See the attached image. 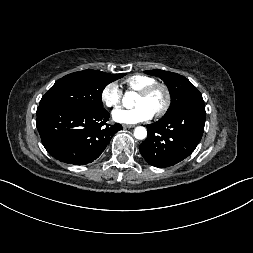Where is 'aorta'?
Segmentation results:
<instances>
[{"label": "aorta", "instance_id": "1", "mask_svg": "<svg viewBox=\"0 0 253 253\" xmlns=\"http://www.w3.org/2000/svg\"><path fill=\"white\" fill-rule=\"evenodd\" d=\"M135 93L134 92H126L125 96L123 97V105L126 108H131L134 105V101H133V97H134ZM134 136L135 138L142 140L145 139L147 136V130L142 127H136L134 130Z\"/></svg>", "mask_w": 253, "mask_h": 253}]
</instances>
